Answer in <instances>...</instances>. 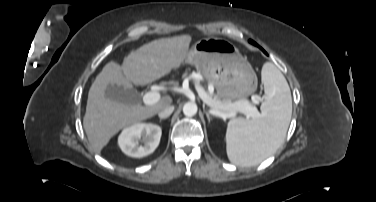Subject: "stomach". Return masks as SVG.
<instances>
[{
  "label": "stomach",
  "mask_w": 376,
  "mask_h": 202,
  "mask_svg": "<svg viewBox=\"0 0 376 202\" xmlns=\"http://www.w3.org/2000/svg\"><path fill=\"white\" fill-rule=\"evenodd\" d=\"M185 62L194 65L223 100L245 98L257 89V78L252 66L228 40H199L188 51Z\"/></svg>",
  "instance_id": "obj_1"
}]
</instances>
